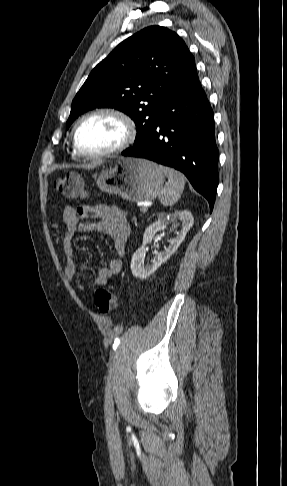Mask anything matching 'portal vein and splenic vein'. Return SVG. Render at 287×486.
Listing matches in <instances>:
<instances>
[{
	"mask_svg": "<svg viewBox=\"0 0 287 486\" xmlns=\"http://www.w3.org/2000/svg\"><path fill=\"white\" fill-rule=\"evenodd\" d=\"M147 210H148L147 205H144L143 207L140 208V211L143 213L147 212Z\"/></svg>",
	"mask_w": 287,
	"mask_h": 486,
	"instance_id": "1",
	"label": "portal vein and splenic vein"
}]
</instances>
